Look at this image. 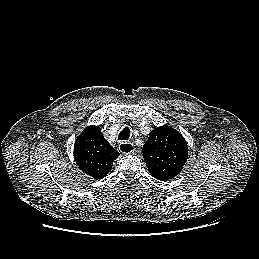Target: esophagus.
Masks as SVG:
<instances>
[{
    "instance_id": "obj_1",
    "label": "esophagus",
    "mask_w": 259,
    "mask_h": 259,
    "mask_svg": "<svg viewBox=\"0 0 259 259\" xmlns=\"http://www.w3.org/2000/svg\"><path fill=\"white\" fill-rule=\"evenodd\" d=\"M118 150L122 154H131L134 152V145L131 142H122L119 144Z\"/></svg>"
}]
</instances>
